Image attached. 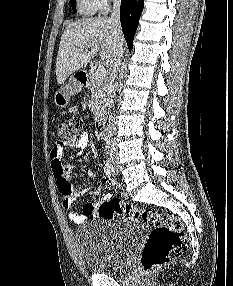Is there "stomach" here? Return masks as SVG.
Masks as SVG:
<instances>
[{
	"instance_id": "1",
	"label": "stomach",
	"mask_w": 233,
	"mask_h": 286,
	"mask_svg": "<svg viewBox=\"0 0 233 286\" xmlns=\"http://www.w3.org/2000/svg\"><path fill=\"white\" fill-rule=\"evenodd\" d=\"M75 90L69 81L64 84L59 90L54 94V103L58 108H65L70 101V98L75 94Z\"/></svg>"
}]
</instances>
